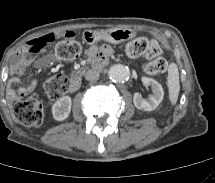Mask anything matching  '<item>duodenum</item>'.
<instances>
[{"instance_id":"410a0bca","label":"duodenum","mask_w":215,"mask_h":183,"mask_svg":"<svg viewBox=\"0 0 215 183\" xmlns=\"http://www.w3.org/2000/svg\"><path fill=\"white\" fill-rule=\"evenodd\" d=\"M95 63L98 66L106 65L105 61H99L97 59L95 60ZM80 86H81V77H80V75H76L69 81L68 90L70 92H74V91H77L80 88Z\"/></svg>"}]
</instances>
